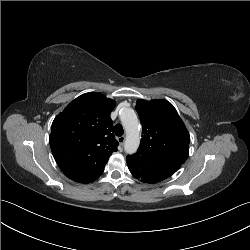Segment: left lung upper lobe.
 <instances>
[{
	"instance_id": "left-lung-upper-lobe-1",
	"label": "left lung upper lobe",
	"mask_w": 250,
	"mask_h": 250,
	"mask_svg": "<svg viewBox=\"0 0 250 250\" xmlns=\"http://www.w3.org/2000/svg\"><path fill=\"white\" fill-rule=\"evenodd\" d=\"M136 110L142 126L137 154L156 166L177 171L189 154L190 135L174 106L162 99H139Z\"/></svg>"
}]
</instances>
